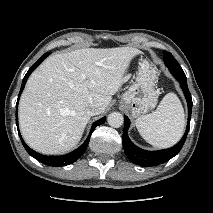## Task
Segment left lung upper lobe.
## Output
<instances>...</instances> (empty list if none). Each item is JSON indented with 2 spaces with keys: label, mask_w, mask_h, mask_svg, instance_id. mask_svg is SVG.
Here are the masks:
<instances>
[{
  "label": "left lung upper lobe",
  "mask_w": 213,
  "mask_h": 213,
  "mask_svg": "<svg viewBox=\"0 0 213 213\" xmlns=\"http://www.w3.org/2000/svg\"><path fill=\"white\" fill-rule=\"evenodd\" d=\"M163 56L165 65L168 67L172 75L176 79L180 78L186 80V75L184 71L182 70L176 59L172 56V54L170 52H164Z\"/></svg>",
  "instance_id": "1"
}]
</instances>
